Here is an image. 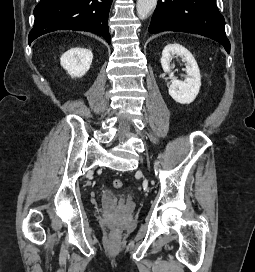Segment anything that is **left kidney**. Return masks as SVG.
I'll use <instances>...</instances> for the list:
<instances>
[{
  "mask_svg": "<svg viewBox=\"0 0 255 272\" xmlns=\"http://www.w3.org/2000/svg\"><path fill=\"white\" fill-rule=\"evenodd\" d=\"M177 57L185 62L184 80H178L172 72L171 62L173 58ZM161 65L164 72L169 74L171 82L169 95L180 104L193 102L201 87V75L193 55L180 44H168L162 51Z\"/></svg>",
  "mask_w": 255,
  "mask_h": 272,
  "instance_id": "obj_1",
  "label": "left kidney"
}]
</instances>
